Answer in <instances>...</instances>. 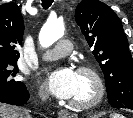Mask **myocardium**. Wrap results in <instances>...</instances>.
Instances as JSON below:
<instances>
[{
	"label": "myocardium",
	"mask_w": 133,
	"mask_h": 118,
	"mask_svg": "<svg viewBox=\"0 0 133 118\" xmlns=\"http://www.w3.org/2000/svg\"><path fill=\"white\" fill-rule=\"evenodd\" d=\"M78 73L87 76L93 84L94 93L92 97L86 101H70V106L77 110H89L97 106L105 95V86L99 72L91 66H81Z\"/></svg>",
	"instance_id": "myocardium-1"
}]
</instances>
